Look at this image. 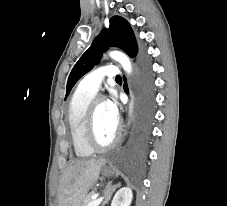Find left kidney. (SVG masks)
I'll return each mask as SVG.
<instances>
[{
  "instance_id": "obj_1",
  "label": "left kidney",
  "mask_w": 227,
  "mask_h": 206,
  "mask_svg": "<svg viewBox=\"0 0 227 206\" xmlns=\"http://www.w3.org/2000/svg\"><path fill=\"white\" fill-rule=\"evenodd\" d=\"M132 198V190L129 187H122L114 195L111 206H130Z\"/></svg>"
}]
</instances>
